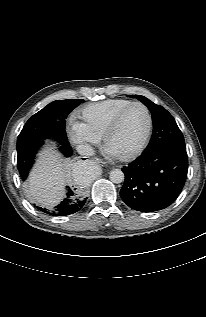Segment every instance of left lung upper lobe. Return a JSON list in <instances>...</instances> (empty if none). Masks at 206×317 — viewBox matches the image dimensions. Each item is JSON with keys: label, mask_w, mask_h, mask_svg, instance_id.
<instances>
[{"label": "left lung upper lobe", "mask_w": 206, "mask_h": 317, "mask_svg": "<svg viewBox=\"0 0 206 317\" xmlns=\"http://www.w3.org/2000/svg\"><path fill=\"white\" fill-rule=\"evenodd\" d=\"M134 97L146 105L152 113L153 134L147 151L165 147L186 150L184 137L172 115L166 109L144 96L134 95Z\"/></svg>", "instance_id": "left-lung-upper-lobe-1"}]
</instances>
